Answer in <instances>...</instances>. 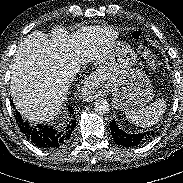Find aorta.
I'll list each match as a JSON object with an SVG mask.
<instances>
[{
  "label": "aorta",
  "instance_id": "obj_1",
  "mask_svg": "<svg viewBox=\"0 0 183 183\" xmlns=\"http://www.w3.org/2000/svg\"><path fill=\"white\" fill-rule=\"evenodd\" d=\"M94 110L101 115L106 114L110 110V104L104 98L97 99L94 102Z\"/></svg>",
  "mask_w": 183,
  "mask_h": 183
}]
</instances>
